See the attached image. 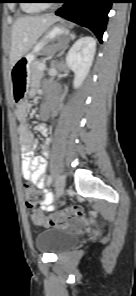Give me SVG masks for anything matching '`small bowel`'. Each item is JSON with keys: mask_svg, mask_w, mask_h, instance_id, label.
Wrapping results in <instances>:
<instances>
[{"mask_svg": "<svg viewBox=\"0 0 136 296\" xmlns=\"http://www.w3.org/2000/svg\"><path fill=\"white\" fill-rule=\"evenodd\" d=\"M28 109L29 104L27 102L22 103L16 109L18 134L21 142L22 174L25 179L44 190L45 199L42 201L41 207L45 211H51L55 208L53 205H50V202H54L55 194L49 193L46 189V181L44 178L46 170L45 157L34 155V150L37 147V140L34 138L26 121ZM42 116L45 117V113H43ZM35 129L45 136L49 134V128L45 124H38ZM48 146L49 140H46L43 148L44 155L48 154Z\"/></svg>", "mask_w": 136, "mask_h": 296, "instance_id": "1", "label": "small bowel"}]
</instances>
